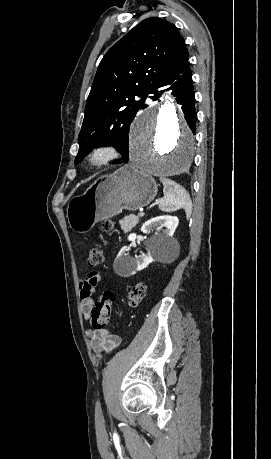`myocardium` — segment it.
Returning <instances> with one entry per match:
<instances>
[{
	"instance_id": "1",
	"label": "myocardium",
	"mask_w": 271,
	"mask_h": 459,
	"mask_svg": "<svg viewBox=\"0 0 271 459\" xmlns=\"http://www.w3.org/2000/svg\"><path fill=\"white\" fill-rule=\"evenodd\" d=\"M121 148L117 142L104 139L92 144L84 154L83 163L89 169H99L117 162Z\"/></svg>"
}]
</instances>
